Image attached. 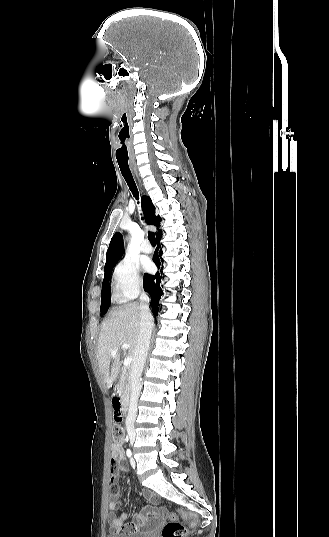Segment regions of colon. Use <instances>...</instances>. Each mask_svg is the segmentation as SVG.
<instances>
[{"label": "colon", "instance_id": "obj_1", "mask_svg": "<svg viewBox=\"0 0 329 537\" xmlns=\"http://www.w3.org/2000/svg\"><path fill=\"white\" fill-rule=\"evenodd\" d=\"M116 404V398L112 399V405ZM124 438V429L121 424L114 423L112 427V441L113 443H121ZM169 517L171 518L169 522L165 524L162 529V537H183L185 534V527L178 520H184L187 518L197 519L199 517V512L197 510H184V509H173L169 512Z\"/></svg>", "mask_w": 329, "mask_h": 537}]
</instances>
